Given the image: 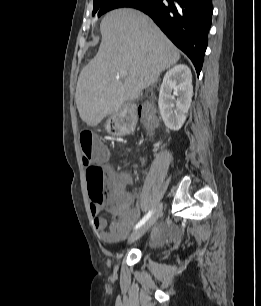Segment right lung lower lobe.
I'll list each match as a JSON object with an SVG mask.
<instances>
[{"label": "right lung lower lobe", "instance_id": "right-lung-lower-lobe-1", "mask_svg": "<svg viewBox=\"0 0 261 306\" xmlns=\"http://www.w3.org/2000/svg\"><path fill=\"white\" fill-rule=\"evenodd\" d=\"M130 7L149 15L191 59L199 75L211 26L212 0H139Z\"/></svg>", "mask_w": 261, "mask_h": 306}]
</instances>
